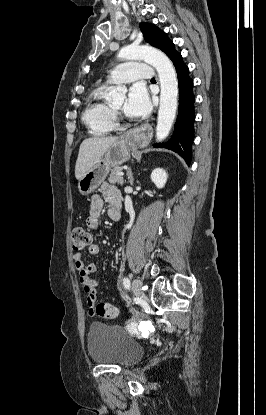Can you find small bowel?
Listing matches in <instances>:
<instances>
[{
  "label": "small bowel",
  "mask_w": 266,
  "mask_h": 415,
  "mask_svg": "<svg viewBox=\"0 0 266 415\" xmlns=\"http://www.w3.org/2000/svg\"><path fill=\"white\" fill-rule=\"evenodd\" d=\"M101 195L95 194L91 198V204L89 214L86 220L87 226L92 230H97L100 226V218L104 205V200L109 204L108 215L111 219L117 220L120 218V209L122 205L120 192L116 187L110 184H103L101 186ZM100 252V248L97 244H90L88 247V253L90 255H97ZM73 262L75 268L80 275V282L83 285L84 291L87 295V305L89 312L92 315V310L95 306L97 299V282L92 278V274L96 270L94 263L85 264L83 261V255L81 252H76L73 255Z\"/></svg>",
  "instance_id": "c3829d8e"
}]
</instances>
